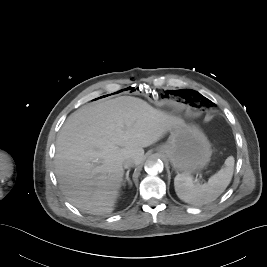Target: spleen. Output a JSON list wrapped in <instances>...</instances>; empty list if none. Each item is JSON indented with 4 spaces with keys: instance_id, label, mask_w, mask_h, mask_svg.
<instances>
[{
    "instance_id": "3e777b00",
    "label": "spleen",
    "mask_w": 267,
    "mask_h": 267,
    "mask_svg": "<svg viewBox=\"0 0 267 267\" xmlns=\"http://www.w3.org/2000/svg\"><path fill=\"white\" fill-rule=\"evenodd\" d=\"M234 157L229 156L224 166L211 176L207 183L194 184L190 176L178 174L174 179L177 196L185 203L202 206L216 200L230 184L233 170Z\"/></svg>"
}]
</instances>
